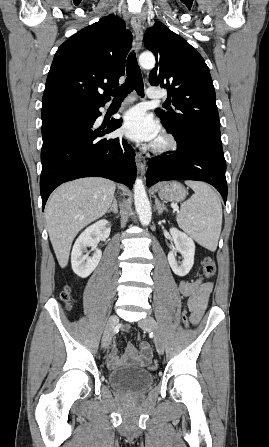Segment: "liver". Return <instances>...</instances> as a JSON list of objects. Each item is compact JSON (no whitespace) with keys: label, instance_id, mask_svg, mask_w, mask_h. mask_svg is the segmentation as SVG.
I'll return each instance as SVG.
<instances>
[{"label":"liver","instance_id":"1","mask_svg":"<svg viewBox=\"0 0 269 447\" xmlns=\"http://www.w3.org/2000/svg\"><path fill=\"white\" fill-rule=\"evenodd\" d=\"M115 184L104 178H81L62 184L47 202L49 237L61 267L68 263L72 241L80 229L109 210Z\"/></svg>","mask_w":269,"mask_h":447}]
</instances>
